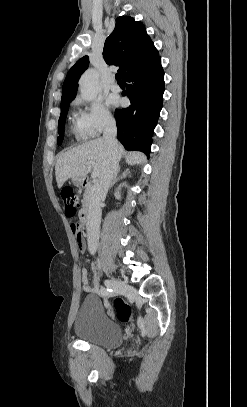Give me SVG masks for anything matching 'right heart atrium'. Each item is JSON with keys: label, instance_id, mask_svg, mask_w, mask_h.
Returning <instances> with one entry per match:
<instances>
[{"label": "right heart atrium", "instance_id": "1", "mask_svg": "<svg viewBox=\"0 0 247 407\" xmlns=\"http://www.w3.org/2000/svg\"><path fill=\"white\" fill-rule=\"evenodd\" d=\"M76 125L84 138H93L113 125L114 119L108 108L97 99L85 101L76 99Z\"/></svg>", "mask_w": 247, "mask_h": 407}]
</instances>
